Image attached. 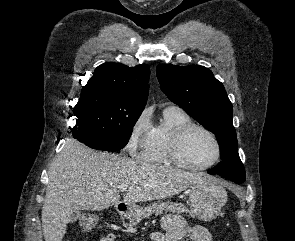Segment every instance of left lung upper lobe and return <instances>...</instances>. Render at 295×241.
<instances>
[{"label":"left lung upper lobe","instance_id":"1","mask_svg":"<svg viewBox=\"0 0 295 241\" xmlns=\"http://www.w3.org/2000/svg\"><path fill=\"white\" fill-rule=\"evenodd\" d=\"M162 91L188 115L216 135L222 161L211 169L233 182L245 181L232 122V103L213 73L199 65L160 64L156 69Z\"/></svg>","mask_w":295,"mask_h":241}]
</instances>
